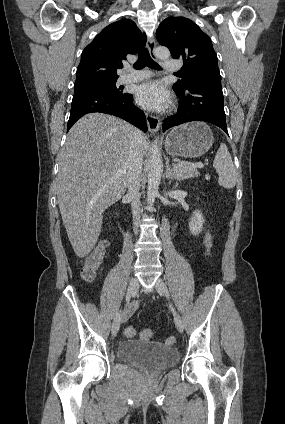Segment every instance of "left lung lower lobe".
Listing matches in <instances>:
<instances>
[{
  "label": "left lung lower lobe",
  "mask_w": 285,
  "mask_h": 424,
  "mask_svg": "<svg viewBox=\"0 0 285 424\" xmlns=\"http://www.w3.org/2000/svg\"><path fill=\"white\" fill-rule=\"evenodd\" d=\"M180 98L178 112L163 121V132L191 121L212 123L227 134L221 81L202 80L191 84L185 91H177Z\"/></svg>",
  "instance_id": "0a47b994"
}]
</instances>
